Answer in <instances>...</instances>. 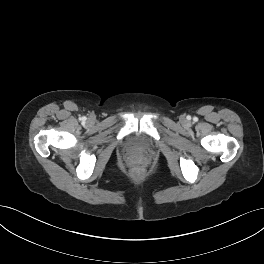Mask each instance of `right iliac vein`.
I'll use <instances>...</instances> for the list:
<instances>
[{
	"label": "right iliac vein",
	"instance_id": "1",
	"mask_svg": "<svg viewBox=\"0 0 264 264\" xmlns=\"http://www.w3.org/2000/svg\"><path fill=\"white\" fill-rule=\"evenodd\" d=\"M90 123L93 121L91 118H89V120H88Z\"/></svg>",
	"mask_w": 264,
	"mask_h": 264
}]
</instances>
